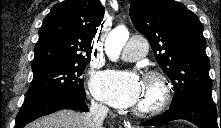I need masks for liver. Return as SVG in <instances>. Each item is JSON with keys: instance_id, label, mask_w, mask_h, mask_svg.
<instances>
[{"instance_id": "1", "label": "liver", "mask_w": 221, "mask_h": 128, "mask_svg": "<svg viewBox=\"0 0 221 128\" xmlns=\"http://www.w3.org/2000/svg\"><path fill=\"white\" fill-rule=\"evenodd\" d=\"M84 113L59 110L30 123L26 128H87Z\"/></svg>"}]
</instances>
